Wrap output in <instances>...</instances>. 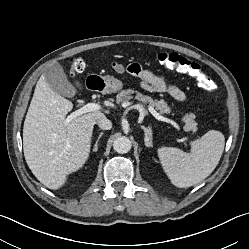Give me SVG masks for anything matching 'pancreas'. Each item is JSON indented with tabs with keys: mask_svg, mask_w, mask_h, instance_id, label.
<instances>
[{
	"mask_svg": "<svg viewBox=\"0 0 249 249\" xmlns=\"http://www.w3.org/2000/svg\"><path fill=\"white\" fill-rule=\"evenodd\" d=\"M132 94H136V96H132ZM137 99L138 101L142 102L143 104H148L150 107L155 108L161 114H169L171 112L169 106L163 100H154L152 97L148 95H144L141 92L134 91L132 89L122 90L116 98L117 103H125L130 99ZM195 118L194 114H187L184 116L185 126L184 129L186 131H196L197 130V123L193 120Z\"/></svg>",
	"mask_w": 249,
	"mask_h": 249,
	"instance_id": "pancreas-1",
	"label": "pancreas"
}]
</instances>
